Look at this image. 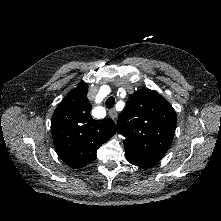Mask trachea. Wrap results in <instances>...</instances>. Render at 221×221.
I'll return each instance as SVG.
<instances>
[{
    "instance_id": "1",
    "label": "trachea",
    "mask_w": 221,
    "mask_h": 221,
    "mask_svg": "<svg viewBox=\"0 0 221 221\" xmlns=\"http://www.w3.org/2000/svg\"><path fill=\"white\" fill-rule=\"evenodd\" d=\"M106 107L108 109H111L115 105V98L113 96H110L105 103Z\"/></svg>"
}]
</instances>
